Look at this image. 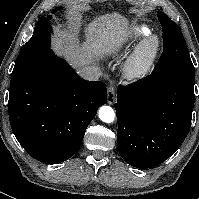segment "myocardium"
<instances>
[{
    "label": "myocardium",
    "instance_id": "f54148a6",
    "mask_svg": "<svg viewBox=\"0 0 199 199\" xmlns=\"http://www.w3.org/2000/svg\"><path fill=\"white\" fill-rule=\"evenodd\" d=\"M161 42L156 34L144 38L134 49L125 63L124 71L130 78H140L151 70L158 53Z\"/></svg>",
    "mask_w": 199,
    "mask_h": 199
}]
</instances>
